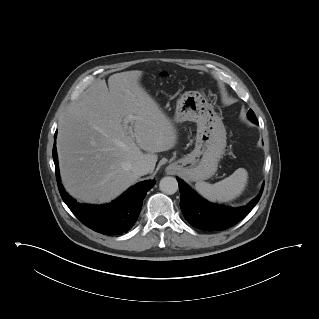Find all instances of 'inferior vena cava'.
Returning a JSON list of instances; mask_svg holds the SVG:
<instances>
[{"label":"inferior vena cava","mask_w":319,"mask_h":319,"mask_svg":"<svg viewBox=\"0 0 319 319\" xmlns=\"http://www.w3.org/2000/svg\"><path fill=\"white\" fill-rule=\"evenodd\" d=\"M132 171L138 176H143L150 172V165L146 161H139L133 165Z\"/></svg>","instance_id":"602c4592"}]
</instances>
